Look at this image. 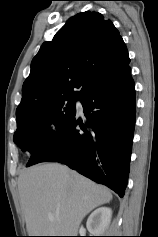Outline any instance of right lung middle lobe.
Returning <instances> with one entry per match:
<instances>
[{
    "mask_svg": "<svg viewBox=\"0 0 158 237\" xmlns=\"http://www.w3.org/2000/svg\"><path fill=\"white\" fill-rule=\"evenodd\" d=\"M75 101L69 98L53 100L35 112L17 117L14 142L32 157L47 139L76 114Z\"/></svg>",
    "mask_w": 158,
    "mask_h": 237,
    "instance_id": "obj_1",
    "label": "right lung middle lobe"
}]
</instances>
